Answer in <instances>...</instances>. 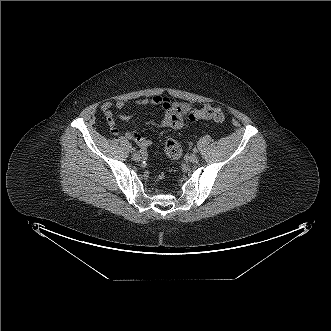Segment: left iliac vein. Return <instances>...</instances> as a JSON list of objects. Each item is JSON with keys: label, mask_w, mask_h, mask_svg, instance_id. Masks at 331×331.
Returning a JSON list of instances; mask_svg holds the SVG:
<instances>
[{"label": "left iliac vein", "mask_w": 331, "mask_h": 331, "mask_svg": "<svg viewBox=\"0 0 331 331\" xmlns=\"http://www.w3.org/2000/svg\"><path fill=\"white\" fill-rule=\"evenodd\" d=\"M189 160L192 162V163H195L198 161V156L196 154H191L189 156Z\"/></svg>", "instance_id": "left-iliac-vein-1"}]
</instances>
